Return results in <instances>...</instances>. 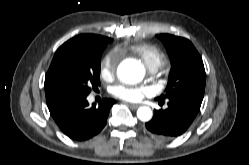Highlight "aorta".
Here are the masks:
<instances>
[{"instance_id":"aorta-1","label":"aorta","mask_w":249,"mask_h":165,"mask_svg":"<svg viewBox=\"0 0 249 165\" xmlns=\"http://www.w3.org/2000/svg\"><path fill=\"white\" fill-rule=\"evenodd\" d=\"M117 74L126 83H138L143 79L144 68L139 61L127 59L118 66ZM137 117L143 122L149 121L152 118V110L147 106L140 107Z\"/></svg>"}]
</instances>
